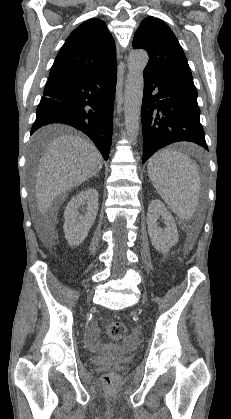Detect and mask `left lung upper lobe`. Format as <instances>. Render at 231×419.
<instances>
[{
	"label": "left lung upper lobe",
	"mask_w": 231,
	"mask_h": 419,
	"mask_svg": "<svg viewBox=\"0 0 231 419\" xmlns=\"http://www.w3.org/2000/svg\"><path fill=\"white\" fill-rule=\"evenodd\" d=\"M133 48L145 49L149 54L144 73L194 84L183 49L164 21L145 18L134 36Z\"/></svg>",
	"instance_id": "obj_1"
}]
</instances>
